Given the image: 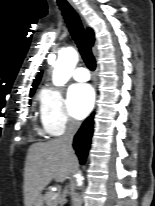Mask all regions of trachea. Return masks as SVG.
<instances>
[{"instance_id": "obj_1", "label": "trachea", "mask_w": 155, "mask_h": 206, "mask_svg": "<svg viewBox=\"0 0 155 206\" xmlns=\"http://www.w3.org/2000/svg\"><path fill=\"white\" fill-rule=\"evenodd\" d=\"M58 6L62 11L71 36L77 44L85 64L91 71H93L96 67L95 59L91 51L88 36L81 24L78 14L67 1L58 0Z\"/></svg>"}]
</instances>
